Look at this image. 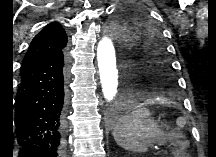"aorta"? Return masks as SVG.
Wrapping results in <instances>:
<instances>
[{
  "label": "aorta",
  "instance_id": "762f6f07",
  "mask_svg": "<svg viewBox=\"0 0 216 157\" xmlns=\"http://www.w3.org/2000/svg\"><path fill=\"white\" fill-rule=\"evenodd\" d=\"M97 61L104 98L111 102L117 95L119 82L115 49L108 36H104L98 43Z\"/></svg>",
  "mask_w": 216,
  "mask_h": 157
}]
</instances>
